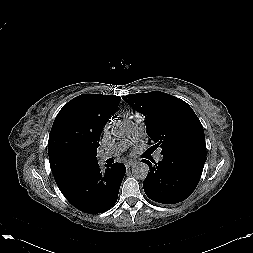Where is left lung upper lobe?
Instances as JSON below:
<instances>
[{
  "mask_svg": "<svg viewBox=\"0 0 253 253\" xmlns=\"http://www.w3.org/2000/svg\"><path fill=\"white\" fill-rule=\"evenodd\" d=\"M122 98L145 116L152 147H160L161 154L191 151L207 155L203 126L185 101L160 91Z\"/></svg>",
  "mask_w": 253,
  "mask_h": 253,
  "instance_id": "obj_1",
  "label": "left lung upper lobe"
}]
</instances>
